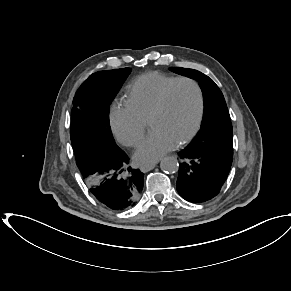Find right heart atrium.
Instances as JSON below:
<instances>
[{"label":"right heart atrium","mask_w":291,"mask_h":291,"mask_svg":"<svg viewBox=\"0 0 291 291\" xmlns=\"http://www.w3.org/2000/svg\"><path fill=\"white\" fill-rule=\"evenodd\" d=\"M110 124L117 140L127 147L138 145L146 130V122L127 103L113 107L110 114Z\"/></svg>","instance_id":"obj_1"}]
</instances>
